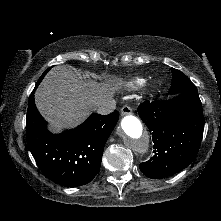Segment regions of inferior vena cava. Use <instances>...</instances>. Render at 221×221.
I'll return each mask as SVG.
<instances>
[{"mask_svg":"<svg viewBox=\"0 0 221 221\" xmlns=\"http://www.w3.org/2000/svg\"><path fill=\"white\" fill-rule=\"evenodd\" d=\"M116 108V101L114 99L107 100L103 102L97 108V113L102 115H107L113 112Z\"/></svg>","mask_w":221,"mask_h":221,"instance_id":"obj_1","label":"inferior vena cava"}]
</instances>
